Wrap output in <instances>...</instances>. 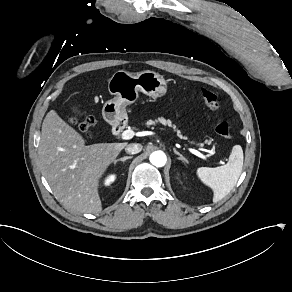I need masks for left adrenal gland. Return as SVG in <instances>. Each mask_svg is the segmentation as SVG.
<instances>
[{
    "instance_id": "left-adrenal-gland-1",
    "label": "left adrenal gland",
    "mask_w": 292,
    "mask_h": 292,
    "mask_svg": "<svg viewBox=\"0 0 292 292\" xmlns=\"http://www.w3.org/2000/svg\"><path fill=\"white\" fill-rule=\"evenodd\" d=\"M174 152L176 155L180 156L179 160L184 162V163H187V160L184 158V156L182 154H180L179 152L176 151V149H174Z\"/></svg>"
}]
</instances>
